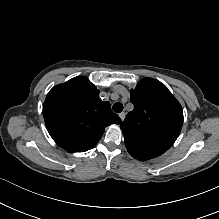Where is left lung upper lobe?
I'll list each match as a JSON object with an SVG mask.
<instances>
[{
  "label": "left lung upper lobe",
  "mask_w": 219,
  "mask_h": 219,
  "mask_svg": "<svg viewBox=\"0 0 219 219\" xmlns=\"http://www.w3.org/2000/svg\"><path fill=\"white\" fill-rule=\"evenodd\" d=\"M134 109L120 125L126 148L138 160L162 155L176 141L183 124V109L168 88L144 78L130 92Z\"/></svg>",
  "instance_id": "1"
}]
</instances>
